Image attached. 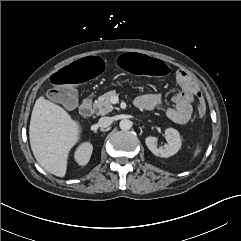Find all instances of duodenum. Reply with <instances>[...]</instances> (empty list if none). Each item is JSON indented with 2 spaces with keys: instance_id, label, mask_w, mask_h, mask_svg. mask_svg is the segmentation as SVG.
Here are the masks:
<instances>
[{
  "instance_id": "1",
  "label": "duodenum",
  "mask_w": 241,
  "mask_h": 241,
  "mask_svg": "<svg viewBox=\"0 0 241 241\" xmlns=\"http://www.w3.org/2000/svg\"><path fill=\"white\" fill-rule=\"evenodd\" d=\"M79 112L83 117H90L92 115L93 105L91 98L87 97L82 101L79 107Z\"/></svg>"
}]
</instances>
